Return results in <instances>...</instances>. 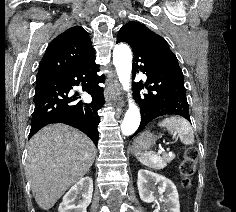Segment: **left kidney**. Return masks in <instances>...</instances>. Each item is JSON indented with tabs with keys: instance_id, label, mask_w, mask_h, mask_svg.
I'll list each match as a JSON object with an SVG mask.
<instances>
[{
	"instance_id": "obj_1",
	"label": "left kidney",
	"mask_w": 236,
	"mask_h": 212,
	"mask_svg": "<svg viewBox=\"0 0 236 212\" xmlns=\"http://www.w3.org/2000/svg\"><path fill=\"white\" fill-rule=\"evenodd\" d=\"M158 185L157 189L159 194L166 193L164 199L166 209L169 212H180L179 196L174 183L166 177L156 174L152 171L141 169L138 172V191L142 201L147 203H157L154 197V188ZM160 208H156L154 212H159Z\"/></svg>"
}]
</instances>
